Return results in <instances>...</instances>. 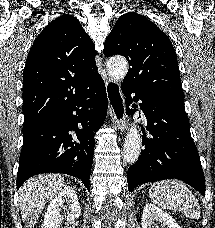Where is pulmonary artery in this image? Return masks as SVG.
<instances>
[{
  "mask_svg": "<svg viewBox=\"0 0 215 228\" xmlns=\"http://www.w3.org/2000/svg\"><path fill=\"white\" fill-rule=\"evenodd\" d=\"M131 102H140V97H131ZM136 109L137 110H142L143 106L142 105H137Z\"/></svg>",
  "mask_w": 215,
  "mask_h": 228,
  "instance_id": "pulmonary-artery-1",
  "label": "pulmonary artery"
}]
</instances>
